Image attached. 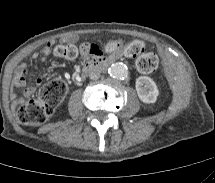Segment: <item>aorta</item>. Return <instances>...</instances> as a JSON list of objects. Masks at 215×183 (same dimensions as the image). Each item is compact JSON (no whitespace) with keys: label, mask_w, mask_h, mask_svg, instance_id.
Returning <instances> with one entry per match:
<instances>
[{"label":"aorta","mask_w":215,"mask_h":183,"mask_svg":"<svg viewBox=\"0 0 215 183\" xmlns=\"http://www.w3.org/2000/svg\"><path fill=\"white\" fill-rule=\"evenodd\" d=\"M109 74L116 79H124L128 76V68L125 64L117 62L112 64L108 70Z\"/></svg>","instance_id":"aorta-1"}]
</instances>
